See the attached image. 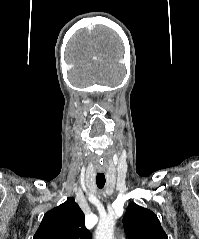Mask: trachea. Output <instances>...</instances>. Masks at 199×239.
Instances as JSON below:
<instances>
[{
    "label": "trachea",
    "mask_w": 199,
    "mask_h": 239,
    "mask_svg": "<svg viewBox=\"0 0 199 239\" xmlns=\"http://www.w3.org/2000/svg\"><path fill=\"white\" fill-rule=\"evenodd\" d=\"M106 179H105V175L98 173L96 176V183H97V187L99 189H102L105 185Z\"/></svg>",
    "instance_id": "trachea-1"
}]
</instances>
